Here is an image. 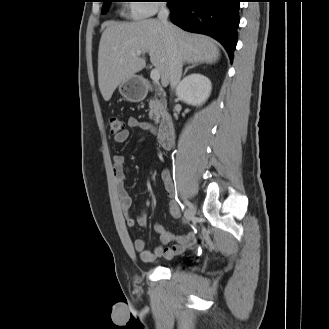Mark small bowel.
Here are the masks:
<instances>
[{
	"label": "small bowel",
	"mask_w": 329,
	"mask_h": 329,
	"mask_svg": "<svg viewBox=\"0 0 329 329\" xmlns=\"http://www.w3.org/2000/svg\"><path fill=\"white\" fill-rule=\"evenodd\" d=\"M127 125L128 129L114 136L115 143H125L129 138L130 129H139L155 133V128L150 122L140 121L135 117H129ZM113 162L116 192L128 227L135 228L136 226H146L148 220L147 210H141L136 217L132 216L130 213L132 198L125 186L127 175L125 157L121 154L115 155ZM161 179L166 191L171 197L169 200V214L173 219H177L180 217L181 210L177 201L173 198L174 185L167 170L161 172ZM155 231L159 235L160 244L153 251L146 249V243L143 239L137 238L133 241L134 250L139 253L141 260L144 262H152L160 257L172 259L176 255L185 252L196 243V235L193 233L176 236L159 224L155 225Z\"/></svg>",
	"instance_id": "1"
}]
</instances>
